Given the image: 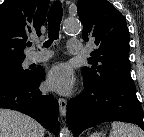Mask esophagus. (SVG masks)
Segmentation results:
<instances>
[{"label": "esophagus", "mask_w": 144, "mask_h": 137, "mask_svg": "<svg viewBox=\"0 0 144 137\" xmlns=\"http://www.w3.org/2000/svg\"><path fill=\"white\" fill-rule=\"evenodd\" d=\"M58 103H59L60 114L61 116L65 117L67 112V100L64 98H59Z\"/></svg>", "instance_id": "34e87169"}]
</instances>
